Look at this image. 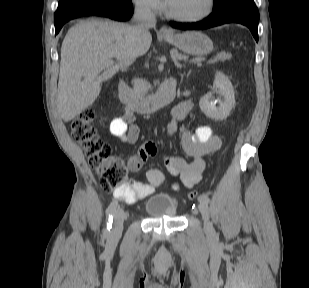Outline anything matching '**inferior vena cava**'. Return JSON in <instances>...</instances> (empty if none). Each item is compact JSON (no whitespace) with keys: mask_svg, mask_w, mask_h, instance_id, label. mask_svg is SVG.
<instances>
[{"mask_svg":"<svg viewBox=\"0 0 309 288\" xmlns=\"http://www.w3.org/2000/svg\"><path fill=\"white\" fill-rule=\"evenodd\" d=\"M133 22L132 28L136 34H146L149 28L155 27L156 17L147 3H136Z\"/></svg>","mask_w":309,"mask_h":288,"instance_id":"602c4592","label":"inferior vena cava"}]
</instances>
